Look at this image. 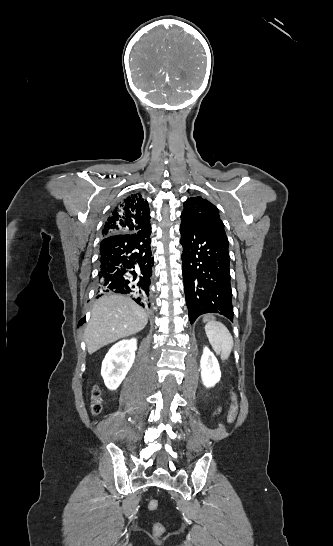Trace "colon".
Instances as JSON below:
<instances>
[{"label":"colon","mask_w":333,"mask_h":546,"mask_svg":"<svg viewBox=\"0 0 333 546\" xmlns=\"http://www.w3.org/2000/svg\"><path fill=\"white\" fill-rule=\"evenodd\" d=\"M91 409H92L93 414H98L102 409L101 398H100V390L98 388H94V390H93V403H92ZM237 414H238V405H237L236 400L234 399V401H233V403H232V405H231V407H230V409L228 411V414H227V421L229 423L235 422ZM148 508H149V510H152V511L157 510L159 508V502L157 500H155V499L150 500L149 504H148ZM164 531H165V528L160 523H156L153 526V532L156 535H162L164 533Z\"/></svg>","instance_id":"1"}]
</instances>
